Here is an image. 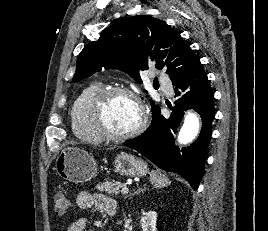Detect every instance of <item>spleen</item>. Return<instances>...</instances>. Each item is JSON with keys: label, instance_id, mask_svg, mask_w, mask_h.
<instances>
[{"label": "spleen", "instance_id": "obj_1", "mask_svg": "<svg viewBox=\"0 0 268 231\" xmlns=\"http://www.w3.org/2000/svg\"><path fill=\"white\" fill-rule=\"evenodd\" d=\"M150 182L155 188H162L170 184L169 179L158 170L151 172Z\"/></svg>", "mask_w": 268, "mask_h": 231}]
</instances>
